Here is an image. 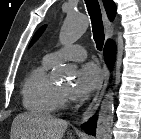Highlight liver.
Masks as SVG:
<instances>
[{
	"label": "liver",
	"mask_w": 141,
	"mask_h": 139,
	"mask_svg": "<svg viewBox=\"0 0 141 139\" xmlns=\"http://www.w3.org/2000/svg\"><path fill=\"white\" fill-rule=\"evenodd\" d=\"M67 126V121L50 114L25 112L14 118L11 139H62Z\"/></svg>",
	"instance_id": "6515ba94"
}]
</instances>
